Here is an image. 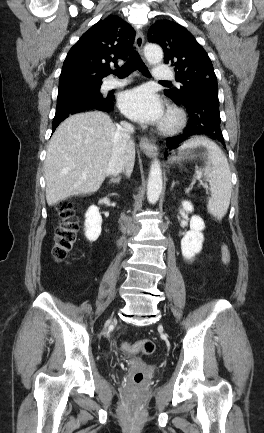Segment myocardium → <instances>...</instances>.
I'll return each instance as SVG.
<instances>
[{
	"label": "myocardium",
	"mask_w": 264,
	"mask_h": 433,
	"mask_svg": "<svg viewBox=\"0 0 264 433\" xmlns=\"http://www.w3.org/2000/svg\"><path fill=\"white\" fill-rule=\"evenodd\" d=\"M186 121L184 112L178 107L168 108L165 117L160 125V130L167 134H172L180 130Z\"/></svg>",
	"instance_id": "obj_1"
}]
</instances>
